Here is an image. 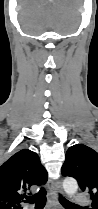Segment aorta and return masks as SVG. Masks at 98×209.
<instances>
[{
	"mask_svg": "<svg viewBox=\"0 0 98 209\" xmlns=\"http://www.w3.org/2000/svg\"><path fill=\"white\" fill-rule=\"evenodd\" d=\"M63 188L66 194L68 195L75 194L78 190L77 181L74 178H66L63 181Z\"/></svg>",
	"mask_w": 98,
	"mask_h": 209,
	"instance_id": "obj_1",
	"label": "aorta"
}]
</instances>
